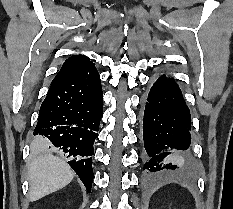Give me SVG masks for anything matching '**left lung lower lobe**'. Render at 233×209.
Here are the masks:
<instances>
[{
    "label": "left lung lower lobe",
    "mask_w": 233,
    "mask_h": 209,
    "mask_svg": "<svg viewBox=\"0 0 233 209\" xmlns=\"http://www.w3.org/2000/svg\"><path fill=\"white\" fill-rule=\"evenodd\" d=\"M191 116L175 81L161 75L151 87L145 103L143 139L147 152L144 170H175L188 163Z\"/></svg>",
    "instance_id": "left-lung-lower-lobe-1"
}]
</instances>
